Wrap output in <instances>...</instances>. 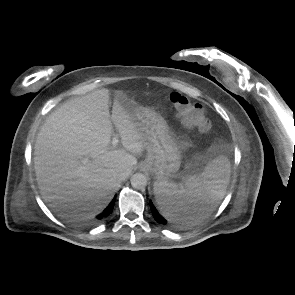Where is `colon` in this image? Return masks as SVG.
<instances>
[{
  "label": "colon",
  "instance_id": "5ec220e1",
  "mask_svg": "<svg viewBox=\"0 0 295 295\" xmlns=\"http://www.w3.org/2000/svg\"><path fill=\"white\" fill-rule=\"evenodd\" d=\"M170 101L175 108L177 116L184 125L195 127L202 132H206L210 129V121L202 106L193 103L178 92L171 93Z\"/></svg>",
  "mask_w": 295,
  "mask_h": 295
}]
</instances>
